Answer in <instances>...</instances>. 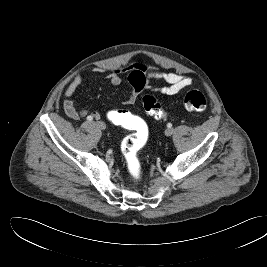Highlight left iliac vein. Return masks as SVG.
Instances as JSON below:
<instances>
[{
    "label": "left iliac vein",
    "mask_w": 267,
    "mask_h": 267,
    "mask_svg": "<svg viewBox=\"0 0 267 267\" xmlns=\"http://www.w3.org/2000/svg\"><path fill=\"white\" fill-rule=\"evenodd\" d=\"M174 130L172 128H167L165 130V135L166 136H171L173 134Z\"/></svg>",
    "instance_id": "left-iliac-vein-1"
}]
</instances>
